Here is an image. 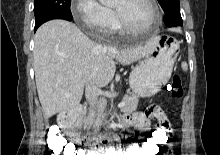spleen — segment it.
Segmentation results:
<instances>
[{
    "label": "spleen",
    "mask_w": 220,
    "mask_h": 155,
    "mask_svg": "<svg viewBox=\"0 0 220 155\" xmlns=\"http://www.w3.org/2000/svg\"><path fill=\"white\" fill-rule=\"evenodd\" d=\"M181 66H182V69H183L184 71H187V70H188V65H187L186 62H182Z\"/></svg>",
    "instance_id": "spleen-1"
}]
</instances>
